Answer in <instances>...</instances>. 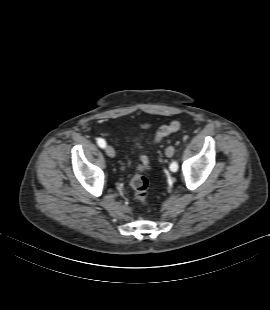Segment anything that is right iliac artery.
<instances>
[{"instance_id":"right-iliac-artery-1","label":"right iliac artery","mask_w":270,"mask_h":310,"mask_svg":"<svg viewBox=\"0 0 270 310\" xmlns=\"http://www.w3.org/2000/svg\"><path fill=\"white\" fill-rule=\"evenodd\" d=\"M97 144H98L101 148H105V146H106V142H105V140L102 139V138L97 139Z\"/></svg>"}]
</instances>
